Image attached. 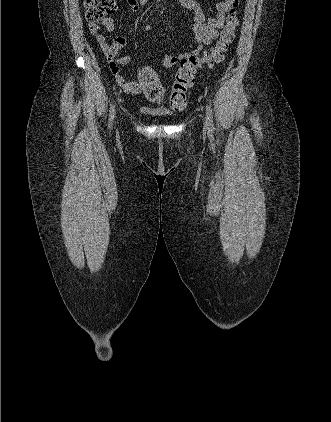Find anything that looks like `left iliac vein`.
<instances>
[{"label":"left iliac vein","instance_id":"1","mask_svg":"<svg viewBox=\"0 0 331 422\" xmlns=\"http://www.w3.org/2000/svg\"><path fill=\"white\" fill-rule=\"evenodd\" d=\"M204 128L206 129V130H208L209 129V123H208V121L205 119V121H204Z\"/></svg>","mask_w":331,"mask_h":422}]
</instances>
